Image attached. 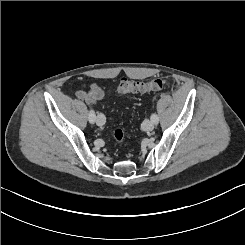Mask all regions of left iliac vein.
<instances>
[{"instance_id":"left-iliac-vein-1","label":"left iliac vein","mask_w":245,"mask_h":245,"mask_svg":"<svg viewBox=\"0 0 245 245\" xmlns=\"http://www.w3.org/2000/svg\"><path fill=\"white\" fill-rule=\"evenodd\" d=\"M155 123L151 120H145L143 122V130L146 132H149L154 129Z\"/></svg>"}]
</instances>
